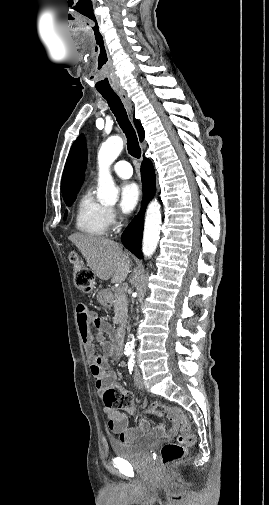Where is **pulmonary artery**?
<instances>
[{"label": "pulmonary artery", "instance_id": "pulmonary-artery-1", "mask_svg": "<svg viewBox=\"0 0 269 505\" xmlns=\"http://www.w3.org/2000/svg\"><path fill=\"white\" fill-rule=\"evenodd\" d=\"M112 171L121 178H130L132 176V167L124 160L116 162L112 167Z\"/></svg>", "mask_w": 269, "mask_h": 505}]
</instances>
